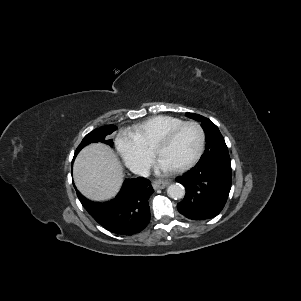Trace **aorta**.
<instances>
[{"label": "aorta", "instance_id": "762f6f07", "mask_svg": "<svg viewBox=\"0 0 301 301\" xmlns=\"http://www.w3.org/2000/svg\"><path fill=\"white\" fill-rule=\"evenodd\" d=\"M167 194L173 199H181L185 195V189L181 184H171L167 188Z\"/></svg>", "mask_w": 301, "mask_h": 301}]
</instances>
